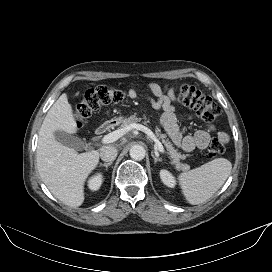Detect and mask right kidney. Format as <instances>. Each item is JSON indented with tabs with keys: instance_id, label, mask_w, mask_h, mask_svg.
I'll list each match as a JSON object with an SVG mask.
<instances>
[{
	"instance_id": "ca27d5eb",
	"label": "right kidney",
	"mask_w": 272,
	"mask_h": 272,
	"mask_svg": "<svg viewBox=\"0 0 272 272\" xmlns=\"http://www.w3.org/2000/svg\"><path fill=\"white\" fill-rule=\"evenodd\" d=\"M103 181V176L98 173L96 175H94L93 177H91V179L88 181V186L91 190L96 191L100 188L101 184Z\"/></svg>"
}]
</instances>
